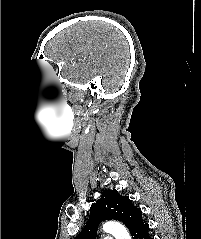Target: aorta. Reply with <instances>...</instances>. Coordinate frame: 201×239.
<instances>
[{
    "mask_svg": "<svg viewBox=\"0 0 201 239\" xmlns=\"http://www.w3.org/2000/svg\"><path fill=\"white\" fill-rule=\"evenodd\" d=\"M103 230L106 233L112 234L115 239H131L127 229L119 222L108 221L103 225Z\"/></svg>",
    "mask_w": 201,
    "mask_h": 239,
    "instance_id": "1",
    "label": "aorta"
}]
</instances>
